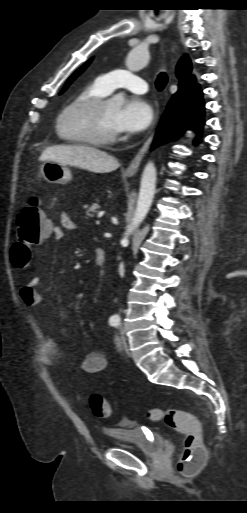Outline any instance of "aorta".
<instances>
[{
	"mask_svg": "<svg viewBox=\"0 0 247 513\" xmlns=\"http://www.w3.org/2000/svg\"><path fill=\"white\" fill-rule=\"evenodd\" d=\"M148 48L140 44L134 47L128 54L126 66L130 71H139L143 69L149 61ZM125 98L121 94L114 95L111 98V104L120 107L124 104ZM157 171L155 164L150 161L146 164L140 183L137 207L133 219V227L141 223L146 217L156 193ZM116 317V316H114Z\"/></svg>",
	"mask_w": 247,
	"mask_h": 513,
	"instance_id": "aorta-1",
	"label": "aorta"
}]
</instances>
